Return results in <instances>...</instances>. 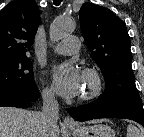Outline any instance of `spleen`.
Listing matches in <instances>:
<instances>
[{"mask_svg": "<svg viewBox=\"0 0 144 137\" xmlns=\"http://www.w3.org/2000/svg\"><path fill=\"white\" fill-rule=\"evenodd\" d=\"M127 137H144V133L135 125L129 124L127 127Z\"/></svg>", "mask_w": 144, "mask_h": 137, "instance_id": "3e777b00", "label": "spleen"}]
</instances>
